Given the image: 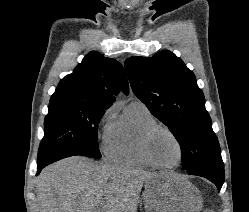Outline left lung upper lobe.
I'll return each instance as SVG.
<instances>
[{"mask_svg":"<svg viewBox=\"0 0 249 212\" xmlns=\"http://www.w3.org/2000/svg\"><path fill=\"white\" fill-rule=\"evenodd\" d=\"M125 68L134 94L179 142L184 170L223 162L204 94L180 58L170 51L132 56Z\"/></svg>","mask_w":249,"mask_h":212,"instance_id":"obj_1","label":"left lung upper lobe"}]
</instances>
